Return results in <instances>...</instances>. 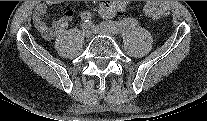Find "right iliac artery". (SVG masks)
<instances>
[{"label":"right iliac artery","instance_id":"right-iliac-artery-1","mask_svg":"<svg viewBox=\"0 0 207 121\" xmlns=\"http://www.w3.org/2000/svg\"><path fill=\"white\" fill-rule=\"evenodd\" d=\"M81 19L89 24L91 26V19H92V15L91 13L87 12V11H84L82 14H81Z\"/></svg>","mask_w":207,"mask_h":121}]
</instances>
